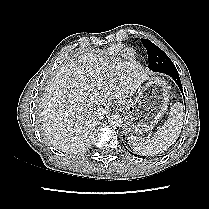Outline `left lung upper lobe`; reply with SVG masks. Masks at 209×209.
<instances>
[{
	"instance_id": "5c2ea615",
	"label": "left lung upper lobe",
	"mask_w": 209,
	"mask_h": 209,
	"mask_svg": "<svg viewBox=\"0 0 209 209\" xmlns=\"http://www.w3.org/2000/svg\"><path fill=\"white\" fill-rule=\"evenodd\" d=\"M141 42L148 53L149 69L155 72H162L175 68L170 58L159 47L147 39L141 38Z\"/></svg>"
}]
</instances>
